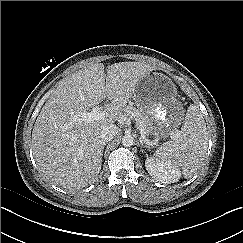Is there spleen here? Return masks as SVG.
Returning <instances> with one entry per match:
<instances>
[{
	"instance_id": "3e777b00",
	"label": "spleen",
	"mask_w": 243,
	"mask_h": 243,
	"mask_svg": "<svg viewBox=\"0 0 243 243\" xmlns=\"http://www.w3.org/2000/svg\"><path fill=\"white\" fill-rule=\"evenodd\" d=\"M208 148V132L197 105L187 109L180 132L167 141L154 154V159L164 164L181 167L185 178H191L200 168Z\"/></svg>"
}]
</instances>
